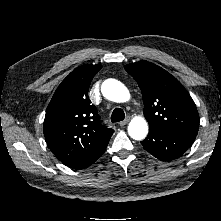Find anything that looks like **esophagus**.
<instances>
[{
    "label": "esophagus",
    "mask_w": 221,
    "mask_h": 221,
    "mask_svg": "<svg viewBox=\"0 0 221 221\" xmlns=\"http://www.w3.org/2000/svg\"><path fill=\"white\" fill-rule=\"evenodd\" d=\"M129 122V118H126L125 120L119 122V126L123 127Z\"/></svg>",
    "instance_id": "34e87169"
}]
</instances>
